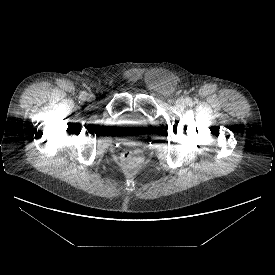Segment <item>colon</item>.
<instances>
[{
	"instance_id": "colon-1",
	"label": "colon",
	"mask_w": 275,
	"mask_h": 275,
	"mask_svg": "<svg viewBox=\"0 0 275 275\" xmlns=\"http://www.w3.org/2000/svg\"><path fill=\"white\" fill-rule=\"evenodd\" d=\"M122 162L130 168L139 167L143 163V155L138 149H130L122 154Z\"/></svg>"
}]
</instances>
